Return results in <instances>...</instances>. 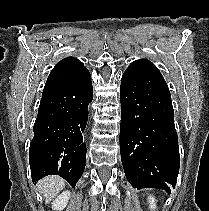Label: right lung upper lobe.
Masks as SVG:
<instances>
[{
  "mask_svg": "<svg viewBox=\"0 0 209 211\" xmlns=\"http://www.w3.org/2000/svg\"><path fill=\"white\" fill-rule=\"evenodd\" d=\"M85 69L83 63L74 57H68L58 62L51 71L43 94L69 82Z\"/></svg>",
  "mask_w": 209,
  "mask_h": 211,
  "instance_id": "right-lung-upper-lobe-1",
  "label": "right lung upper lobe"
}]
</instances>
